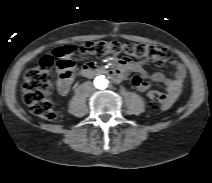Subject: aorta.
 I'll return each instance as SVG.
<instances>
[{
	"label": "aorta",
	"mask_w": 212,
	"mask_h": 183,
	"mask_svg": "<svg viewBox=\"0 0 212 183\" xmlns=\"http://www.w3.org/2000/svg\"><path fill=\"white\" fill-rule=\"evenodd\" d=\"M109 81L106 75L99 74L94 79V85L99 90H104L108 87Z\"/></svg>",
	"instance_id": "1"
}]
</instances>
